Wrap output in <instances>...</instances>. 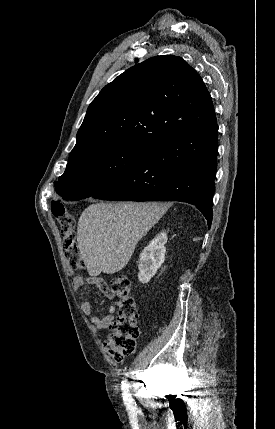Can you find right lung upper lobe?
<instances>
[{
    "label": "right lung upper lobe",
    "instance_id": "right-lung-upper-lobe-1",
    "mask_svg": "<svg viewBox=\"0 0 275 429\" xmlns=\"http://www.w3.org/2000/svg\"><path fill=\"white\" fill-rule=\"evenodd\" d=\"M216 121L200 75L181 57H152L119 75L92 101L68 161L116 144L151 149Z\"/></svg>",
    "mask_w": 275,
    "mask_h": 429
}]
</instances>
